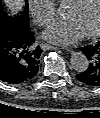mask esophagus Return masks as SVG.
<instances>
[{
    "instance_id": "1",
    "label": "esophagus",
    "mask_w": 100,
    "mask_h": 118,
    "mask_svg": "<svg viewBox=\"0 0 100 118\" xmlns=\"http://www.w3.org/2000/svg\"><path fill=\"white\" fill-rule=\"evenodd\" d=\"M40 47H41V49H43V50L57 49L56 46L50 45V44L45 43V42H42V43L40 44ZM67 50L69 51L70 49H67Z\"/></svg>"
}]
</instances>
